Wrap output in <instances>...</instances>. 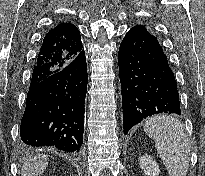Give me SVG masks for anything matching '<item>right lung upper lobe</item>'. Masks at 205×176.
<instances>
[{
	"label": "right lung upper lobe",
	"instance_id": "1",
	"mask_svg": "<svg viewBox=\"0 0 205 176\" xmlns=\"http://www.w3.org/2000/svg\"><path fill=\"white\" fill-rule=\"evenodd\" d=\"M80 32L71 23H61L44 37L30 87L59 72L78 54L83 52Z\"/></svg>",
	"mask_w": 205,
	"mask_h": 176
}]
</instances>
